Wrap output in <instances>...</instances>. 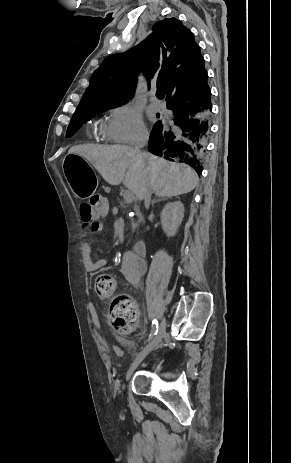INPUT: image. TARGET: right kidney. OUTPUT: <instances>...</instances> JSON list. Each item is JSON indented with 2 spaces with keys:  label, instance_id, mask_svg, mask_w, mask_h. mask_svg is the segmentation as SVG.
<instances>
[{
  "label": "right kidney",
  "instance_id": "1",
  "mask_svg": "<svg viewBox=\"0 0 291 463\" xmlns=\"http://www.w3.org/2000/svg\"><path fill=\"white\" fill-rule=\"evenodd\" d=\"M184 218V206L180 201L167 203L161 212V224L168 237L175 236Z\"/></svg>",
  "mask_w": 291,
  "mask_h": 463
}]
</instances>
